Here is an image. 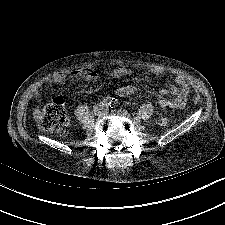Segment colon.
I'll return each mask as SVG.
<instances>
[{"mask_svg": "<svg viewBox=\"0 0 225 225\" xmlns=\"http://www.w3.org/2000/svg\"><path fill=\"white\" fill-rule=\"evenodd\" d=\"M40 128L46 132H56L61 136H65L69 132V122L67 110L63 100L57 98L47 104L37 116ZM169 123L167 117H161L160 126H166Z\"/></svg>", "mask_w": 225, "mask_h": 225, "instance_id": "1", "label": "colon"}]
</instances>
